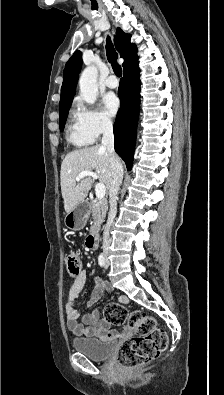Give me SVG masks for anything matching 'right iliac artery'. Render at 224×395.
I'll list each match as a JSON object with an SVG mask.
<instances>
[{"instance_id":"82829eb1","label":"right iliac artery","mask_w":224,"mask_h":395,"mask_svg":"<svg viewBox=\"0 0 224 395\" xmlns=\"http://www.w3.org/2000/svg\"><path fill=\"white\" fill-rule=\"evenodd\" d=\"M98 263L101 267H104L105 265V256L103 253H101L98 257Z\"/></svg>"}]
</instances>
